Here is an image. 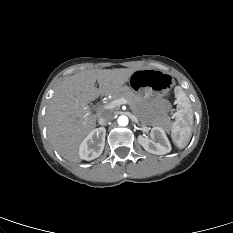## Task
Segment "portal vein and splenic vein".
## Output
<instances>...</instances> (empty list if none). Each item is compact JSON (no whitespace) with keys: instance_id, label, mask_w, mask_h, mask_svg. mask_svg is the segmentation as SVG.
Wrapping results in <instances>:
<instances>
[{"instance_id":"1","label":"portal vein and splenic vein","mask_w":233,"mask_h":233,"mask_svg":"<svg viewBox=\"0 0 233 233\" xmlns=\"http://www.w3.org/2000/svg\"><path fill=\"white\" fill-rule=\"evenodd\" d=\"M128 101L124 98H121V99H116L108 104H106L103 109H113L115 108L116 106H119V105H122V104H127Z\"/></svg>"}]
</instances>
